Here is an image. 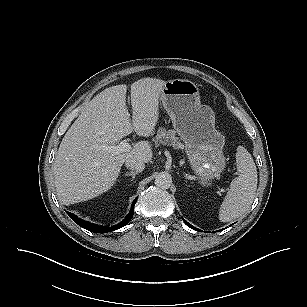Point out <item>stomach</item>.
Segmentation results:
<instances>
[{"label":"stomach","instance_id":"obj_1","mask_svg":"<svg viewBox=\"0 0 307 307\" xmlns=\"http://www.w3.org/2000/svg\"><path fill=\"white\" fill-rule=\"evenodd\" d=\"M160 99L175 132L185 143L193 171L202 184H207L225 167V139L215 128L214 111L201 103L198 85L187 79L166 82Z\"/></svg>","mask_w":307,"mask_h":307}]
</instances>
